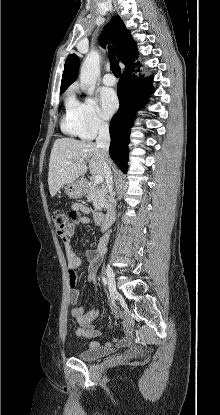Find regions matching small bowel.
<instances>
[{
	"label": "small bowel",
	"mask_w": 220,
	"mask_h": 415,
	"mask_svg": "<svg viewBox=\"0 0 220 415\" xmlns=\"http://www.w3.org/2000/svg\"><path fill=\"white\" fill-rule=\"evenodd\" d=\"M92 213L95 222H102L103 214L94 212L88 206L80 203H75L71 207L70 222L63 235H58L63 241L66 249V257L68 261V277L71 285V303L76 304L80 300V290L76 287L79 280L78 269L83 264L82 257L71 247L70 238L74 234L75 226L78 224H89L91 219L87 216ZM109 233L103 235L98 242L96 249H89L84 251L83 256L86 260L87 278L90 282H96V271L103 256L106 254L109 242ZM72 317L79 324L76 334L85 338H97L100 335L99 330L94 325V321L99 317V310H86L84 307L75 306L71 311ZM115 317L123 323V336L117 338L113 342H106L102 346L107 349L114 347H124L130 344L132 336V327L125 320V316L120 311H115ZM90 346H101L97 341H92Z\"/></svg>",
	"instance_id": "1"
}]
</instances>
